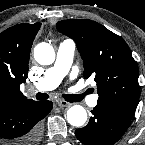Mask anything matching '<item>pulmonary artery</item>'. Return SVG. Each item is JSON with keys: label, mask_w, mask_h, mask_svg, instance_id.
Masks as SVG:
<instances>
[{"label": "pulmonary artery", "mask_w": 145, "mask_h": 145, "mask_svg": "<svg viewBox=\"0 0 145 145\" xmlns=\"http://www.w3.org/2000/svg\"><path fill=\"white\" fill-rule=\"evenodd\" d=\"M75 52V43L67 39L62 41L57 50L56 61L52 67L46 70L42 78L34 85L38 91H49L56 88L68 75ZM97 95L90 96L87 100L92 107L97 104Z\"/></svg>", "instance_id": "obj_1"}]
</instances>
